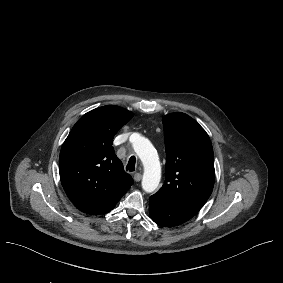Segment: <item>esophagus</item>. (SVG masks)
<instances>
[{
    "label": "esophagus",
    "instance_id": "esophagus-1",
    "mask_svg": "<svg viewBox=\"0 0 283 283\" xmlns=\"http://www.w3.org/2000/svg\"><path fill=\"white\" fill-rule=\"evenodd\" d=\"M133 179H134L136 182H139V181L142 179V174H140V173H135L134 176H133Z\"/></svg>",
    "mask_w": 283,
    "mask_h": 283
}]
</instances>
